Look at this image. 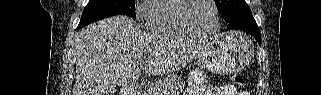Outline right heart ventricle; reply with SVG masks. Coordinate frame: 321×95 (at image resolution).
Here are the masks:
<instances>
[{
	"label": "right heart ventricle",
	"instance_id": "1",
	"mask_svg": "<svg viewBox=\"0 0 321 95\" xmlns=\"http://www.w3.org/2000/svg\"><path fill=\"white\" fill-rule=\"evenodd\" d=\"M181 0H154L147 21L149 30L182 36H192L175 21V10Z\"/></svg>",
	"mask_w": 321,
	"mask_h": 95
}]
</instances>
